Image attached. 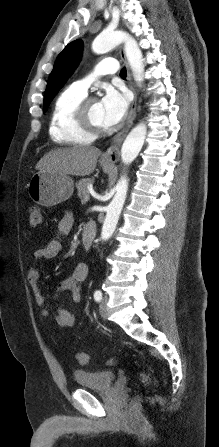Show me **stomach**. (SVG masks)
<instances>
[{"label": "stomach", "mask_w": 219, "mask_h": 447, "mask_svg": "<svg viewBox=\"0 0 219 447\" xmlns=\"http://www.w3.org/2000/svg\"><path fill=\"white\" fill-rule=\"evenodd\" d=\"M105 173L113 169V164L100 160ZM74 191V182L71 177L54 171L40 170L33 174L28 183V193L36 204L44 207H53L69 199Z\"/></svg>", "instance_id": "stomach-1"}]
</instances>
